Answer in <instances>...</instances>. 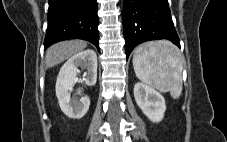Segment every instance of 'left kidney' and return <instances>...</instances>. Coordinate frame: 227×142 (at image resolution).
I'll return each instance as SVG.
<instances>
[{"label":"left kidney","instance_id":"5707ae66","mask_svg":"<svg viewBox=\"0 0 227 142\" xmlns=\"http://www.w3.org/2000/svg\"><path fill=\"white\" fill-rule=\"evenodd\" d=\"M134 97L142 112L154 123L160 122L166 110L164 97L154 88L138 82L134 86Z\"/></svg>","mask_w":227,"mask_h":142}]
</instances>
